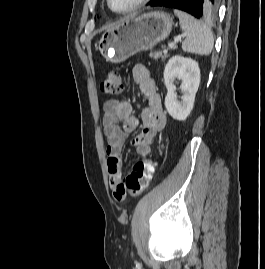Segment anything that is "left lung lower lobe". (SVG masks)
Instances as JSON below:
<instances>
[{"label":"left lung lower lobe","instance_id":"left-lung-lower-lobe-1","mask_svg":"<svg viewBox=\"0 0 265 269\" xmlns=\"http://www.w3.org/2000/svg\"><path fill=\"white\" fill-rule=\"evenodd\" d=\"M149 4L183 10L201 19H213L218 10V0H154Z\"/></svg>","mask_w":265,"mask_h":269}]
</instances>
